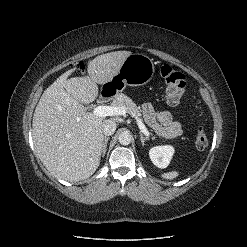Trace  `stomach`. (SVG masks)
I'll use <instances>...</instances> for the list:
<instances>
[{
  "mask_svg": "<svg viewBox=\"0 0 247 247\" xmlns=\"http://www.w3.org/2000/svg\"><path fill=\"white\" fill-rule=\"evenodd\" d=\"M154 73L153 59L139 53L131 54L125 59L119 72L103 84V88L112 94L118 93L126 86L136 87L148 83Z\"/></svg>",
  "mask_w": 247,
  "mask_h": 247,
  "instance_id": "1",
  "label": "stomach"
}]
</instances>
